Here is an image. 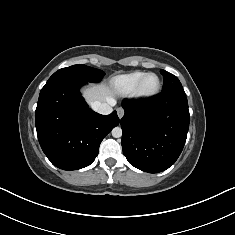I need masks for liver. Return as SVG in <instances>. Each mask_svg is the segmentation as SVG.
Wrapping results in <instances>:
<instances>
[{
	"label": "liver",
	"mask_w": 235,
	"mask_h": 235,
	"mask_svg": "<svg viewBox=\"0 0 235 235\" xmlns=\"http://www.w3.org/2000/svg\"><path fill=\"white\" fill-rule=\"evenodd\" d=\"M82 93L83 97L90 105L95 101H99L101 103H110L112 101L115 102L113 98V90L104 83L91 85L88 88L84 89Z\"/></svg>",
	"instance_id": "liver-1"
}]
</instances>
